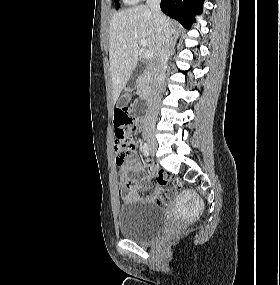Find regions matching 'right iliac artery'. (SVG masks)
Masks as SVG:
<instances>
[{
    "label": "right iliac artery",
    "instance_id": "82829eb1",
    "mask_svg": "<svg viewBox=\"0 0 280 285\" xmlns=\"http://www.w3.org/2000/svg\"><path fill=\"white\" fill-rule=\"evenodd\" d=\"M143 153L145 156L149 155V146L147 143H144V145H143Z\"/></svg>",
    "mask_w": 280,
    "mask_h": 285
}]
</instances>
